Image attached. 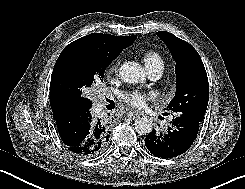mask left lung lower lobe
<instances>
[{
	"instance_id": "obj_1",
	"label": "left lung lower lobe",
	"mask_w": 245,
	"mask_h": 189,
	"mask_svg": "<svg viewBox=\"0 0 245 189\" xmlns=\"http://www.w3.org/2000/svg\"><path fill=\"white\" fill-rule=\"evenodd\" d=\"M200 122L191 114L173 116L172 126L162 132L153 129L146 136L145 145L156 157L172 158L181 155L196 139Z\"/></svg>"
}]
</instances>
